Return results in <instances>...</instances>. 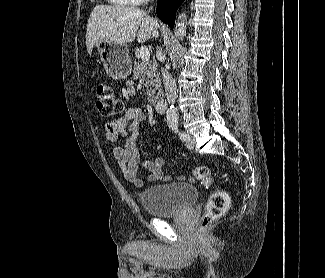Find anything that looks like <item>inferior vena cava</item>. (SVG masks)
<instances>
[{"label": "inferior vena cava", "instance_id": "inferior-vena-cava-1", "mask_svg": "<svg viewBox=\"0 0 325 278\" xmlns=\"http://www.w3.org/2000/svg\"><path fill=\"white\" fill-rule=\"evenodd\" d=\"M153 36L158 37L157 29L153 31ZM156 56L160 61L164 60V55L162 53V50L159 47L156 51ZM161 73L163 77L167 101L169 104H174L177 97L175 80L172 78V76L170 75V73L166 68H162Z\"/></svg>", "mask_w": 325, "mask_h": 278}]
</instances>
